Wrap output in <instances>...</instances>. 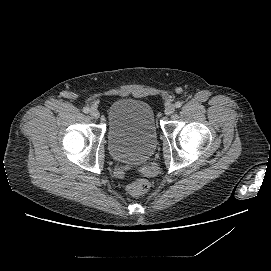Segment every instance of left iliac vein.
I'll use <instances>...</instances> for the list:
<instances>
[{
	"instance_id": "obj_1",
	"label": "left iliac vein",
	"mask_w": 271,
	"mask_h": 271,
	"mask_svg": "<svg viewBox=\"0 0 271 271\" xmlns=\"http://www.w3.org/2000/svg\"><path fill=\"white\" fill-rule=\"evenodd\" d=\"M175 111V106L173 104H170L166 106L165 108V114L166 115H171Z\"/></svg>"
}]
</instances>
